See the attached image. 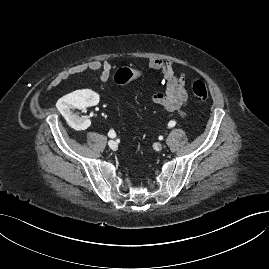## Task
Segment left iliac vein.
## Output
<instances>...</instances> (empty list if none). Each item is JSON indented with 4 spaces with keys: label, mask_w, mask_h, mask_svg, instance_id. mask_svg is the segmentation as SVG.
<instances>
[{
    "label": "left iliac vein",
    "mask_w": 269,
    "mask_h": 269,
    "mask_svg": "<svg viewBox=\"0 0 269 269\" xmlns=\"http://www.w3.org/2000/svg\"><path fill=\"white\" fill-rule=\"evenodd\" d=\"M155 148L157 151H161L163 146H162V144L158 143V144H156Z\"/></svg>",
    "instance_id": "obj_1"
}]
</instances>
